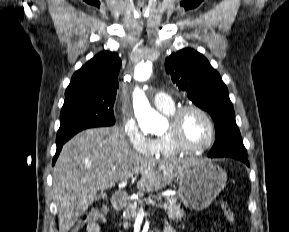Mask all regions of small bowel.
Segmentation results:
<instances>
[{
    "mask_svg": "<svg viewBox=\"0 0 289 232\" xmlns=\"http://www.w3.org/2000/svg\"><path fill=\"white\" fill-rule=\"evenodd\" d=\"M87 232H102L101 225L97 222L89 223L86 227ZM162 232H176L171 226H165Z\"/></svg>",
    "mask_w": 289,
    "mask_h": 232,
    "instance_id": "small-bowel-1",
    "label": "small bowel"
}]
</instances>
